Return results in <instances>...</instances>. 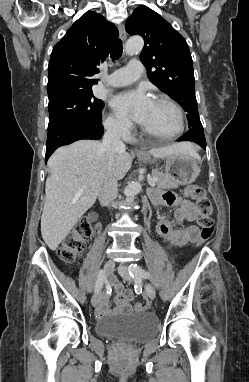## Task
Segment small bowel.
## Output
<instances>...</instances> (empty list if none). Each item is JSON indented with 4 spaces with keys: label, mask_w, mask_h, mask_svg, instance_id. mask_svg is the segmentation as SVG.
<instances>
[{
    "label": "small bowel",
    "mask_w": 249,
    "mask_h": 382,
    "mask_svg": "<svg viewBox=\"0 0 249 382\" xmlns=\"http://www.w3.org/2000/svg\"><path fill=\"white\" fill-rule=\"evenodd\" d=\"M151 200L157 205L176 207L173 214V221L162 218L158 223V232L164 239L181 246L193 242L198 238L199 229L194 224L198 218V210L192 202L176 196L173 192L163 194L152 193ZM173 222L178 224L187 222L189 224L182 228H174ZM111 283L117 293L115 307L111 309L108 298H103L96 305L97 314L99 316L121 312L128 313L131 310L130 302L133 299L132 292L126 290L121 281L116 277L111 279Z\"/></svg>",
    "instance_id": "obj_1"
}]
</instances>
